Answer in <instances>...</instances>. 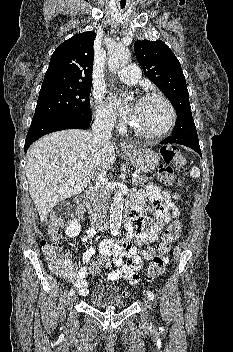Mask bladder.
<instances>
[{
	"instance_id": "obj_1",
	"label": "bladder",
	"mask_w": 233,
	"mask_h": 352,
	"mask_svg": "<svg viewBox=\"0 0 233 352\" xmlns=\"http://www.w3.org/2000/svg\"><path fill=\"white\" fill-rule=\"evenodd\" d=\"M91 306L99 309H122L128 304L124 291L112 285H98L90 295Z\"/></svg>"
}]
</instances>
